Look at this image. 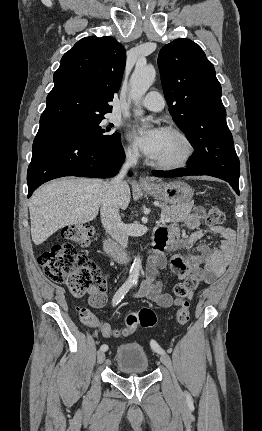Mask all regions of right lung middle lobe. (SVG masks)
Instances as JSON below:
<instances>
[{"label": "right lung middle lobe", "mask_w": 262, "mask_h": 431, "mask_svg": "<svg viewBox=\"0 0 262 431\" xmlns=\"http://www.w3.org/2000/svg\"><path fill=\"white\" fill-rule=\"evenodd\" d=\"M104 116H94L88 118L73 119L66 122L48 125L41 128L64 131L67 133L74 134L83 139L103 144H113L121 140V136L118 132H110V128L113 124H109L105 127L101 124Z\"/></svg>", "instance_id": "right-lung-middle-lobe-1"}]
</instances>
